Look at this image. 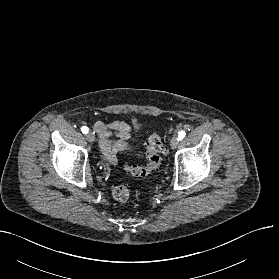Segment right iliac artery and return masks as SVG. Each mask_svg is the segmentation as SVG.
Wrapping results in <instances>:
<instances>
[{"instance_id": "1", "label": "right iliac artery", "mask_w": 279, "mask_h": 279, "mask_svg": "<svg viewBox=\"0 0 279 279\" xmlns=\"http://www.w3.org/2000/svg\"><path fill=\"white\" fill-rule=\"evenodd\" d=\"M88 127H86V126H83L82 128H81V131H82V133H84V134H86V133H88Z\"/></svg>"}]
</instances>
